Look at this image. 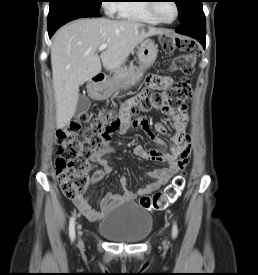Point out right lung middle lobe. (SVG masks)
<instances>
[{"label": "right lung middle lobe", "mask_w": 258, "mask_h": 275, "mask_svg": "<svg viewBox=\"0 0 258 275\" xmlns=\"http://www.w3.org/2000/svg\"><path fill=\"white\" fill-rule=\"evenodd\" d=\"M102 0H50L49 13L61 9L76 8L99 12Z\"/></svg>", "instance_id": "1"}]
</instances>
